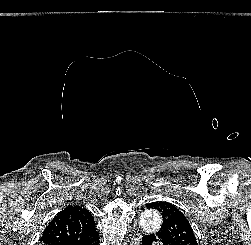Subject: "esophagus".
<instances>
[{"instance_id": "1", "label": "esophagus", "mask_w": 251, "mask_h": 245, "mask_svg": "<svg viewBox=\"0 0 251 245\" xmlns=\"http://www.w3.org/2000/svg\"><path fill=\"white\" fill-rule=\"evenodd\" d=\"M141 235L137 233L131 238L130 245H140Z\"/></svg>"}]
</instances>
